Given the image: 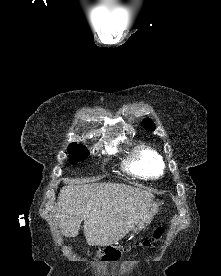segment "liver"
Instances as JSON below:
<instances>
[{
  "label": "liver",
  "instance_id": "obj_1",
  "mask_svg": "<svg viewBox=\"0 0 221 276\" xmlns=\"http://www.w3.org/2000/svg\"><path fill=\"white\" fill-rule=\"evenodd\" d=\"M153 200L152 193L127 185H68L60 190L56 218L66 237H76L84 221L88 245L105 246L129 233Z\"/></svg>",
  "mask_w": 221,
  "mask_h": 276
}]
</instances>
